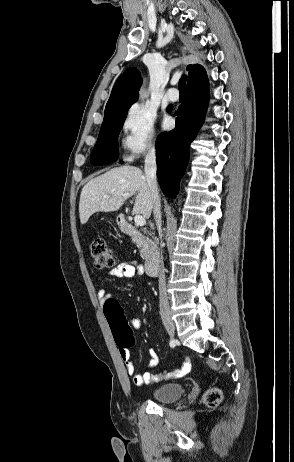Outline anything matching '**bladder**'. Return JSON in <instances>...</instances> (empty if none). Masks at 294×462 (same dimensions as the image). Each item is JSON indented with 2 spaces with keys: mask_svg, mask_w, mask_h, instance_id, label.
Instances as JSON below:
<instances>
[{
  "mask_svg": "<svg viewBox=\"0 0 294 462\" xmlns=\"http://www.w3.org/2000/svg\"><path fill=\"white\" fill-rule=\"evenodd\" d=\"M184 386L179 383H168L155 389L151 398L153 401L160 403H169L179 399L184 393Z\"/></svg>",
  "mask_w": 294,
  "mask_h": 462,
  "instance_id": "bladder-1",
  "label": "bladder"
}]
</instances>
